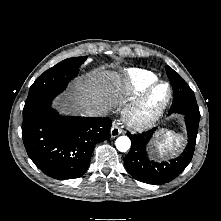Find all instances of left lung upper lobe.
<instances>
[{
    "label": "left lung upper lobe",
    "instance_id": "obj_1",
    "mask_svg": "<svg viewBox=\"0 0 221 221\" xmlns=\"http://www.w3.org/2000/svg\"><path fill=\"white\" fill-rule=\"evenodd\" d=\"M166 71H167V75H168V78H169L171 84L173 82L184 81L180 77V75L177 72H175L171 67L166 66Z\"/></svg>",
    "mask_w": 221,
    "mask_h": 221
}]
</instances>
